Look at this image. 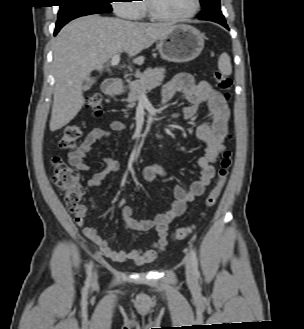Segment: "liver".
I'll return each mask as SVG.
<instances>
[{
  "instance_id": "liver-1",
  "label": "liver",
  "mask_w": 304,
  "mask_h": 329,
  "mask_svg": "<svg viewBox=\"0 0 304 329\" xmlns=\"http://www.w3.org/2000/svg\"><path fill=\"white\" fill-rule=\"evenodd\" d=\"M169 23H140L119 18L89 15L68 23L53 42L55 90L50 130L67 125L84 104L82 84L92 71L102 72L104 64L124 52L130 58L167 34ZM145 58L133 59L143 64Z\"/></svg>"
}]
</instances>
